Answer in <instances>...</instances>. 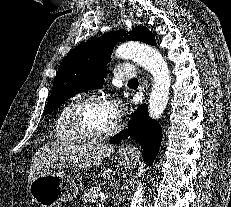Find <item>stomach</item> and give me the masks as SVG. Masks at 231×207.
I'll use <instances>...</instances> for the list:
<instances>
[{"label": "stomach", "mask_w": 231, "mask_h": 207, "mask_svg": "<svg viewBox=\"0 0 231 207\" xmlns=\"http://www.w3.org/2000/svg\"><path fill=\"white\" fill-rule=\"evenodd\" d=\"M119 160L125 169L135 167V158L128 154H121ZM78 191L77 182L61 171L42 172L29 185L31 197L41 207H58L75 198Z\"/></svg>", "instance_id": "0dacf381"}]
</instances>
